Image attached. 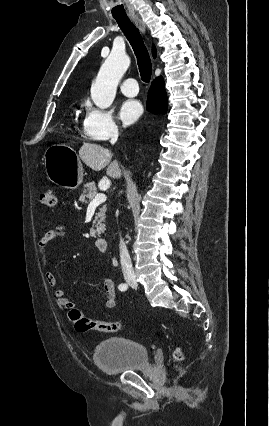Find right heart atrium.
<instances>
[{
  "label": "right heart atrium",
  "instance_id": "d8ad5b80",
  "mask_svg": "<svg viewBox=\"0 0 269 426\" xmlns=\"http://www.w3.org/2000/svg\"><path fill=\"white\" fill-rule=\"evenodd\" d=\"M85 108L82 132L86 138L105 141L120 134V128L110 111L95 107L90 102H86Z\"/></svg>",
  "mask_w": 269,
  "mask_h": 426
}]
</instances>
